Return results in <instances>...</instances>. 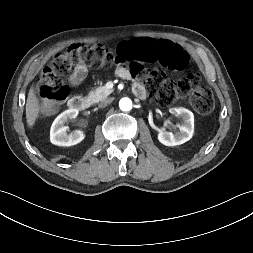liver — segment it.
Returning a JSON list of instances; mask_svg holds the SVG:
<instances>
[{"mask_svg": "<svg viewBox=\"0 0 253 253\" xmlns=\"http://www.w3.org/2000/svg\"><path fill=\"white\" fill-rule=\"evenodd\" d=\"M39 101L36 96L35 90L33 87L30 88L27 101H26V120L27 125L31 128L36 121V118L39 113Z\"/></svg>", "mask_w": 253, "mask_h": 253, "instance_id": "1", "label": "liver"}]
</instances>
